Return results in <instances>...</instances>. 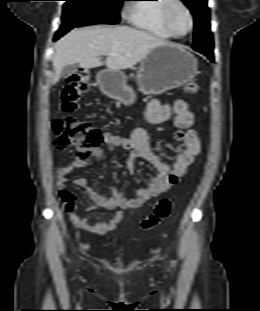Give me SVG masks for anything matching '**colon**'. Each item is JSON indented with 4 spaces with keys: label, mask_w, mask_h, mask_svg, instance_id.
<instances>
[{
    "label": "colon",
    "mask_w": 260,
    "mask_h": 311,
    "mask_svg": "<svg viewBox=\"0 0 260 311\" xmlns=\"http://www.w3.org/2000/svg\"><path fill=\"white\" fill-rule=\"evenodd\" d=\"M89 79V73L85 70L68 78L61 92L62 111L68 115L53 123L54 146L59 150H75L76 159L81 162H86L94 155L95 149L103 142V133L89 120L70 115L80 109V100L88 88ZM184 90L188 94H195L198 91V85L195 81H188ZM176 137L182 139L183 135L179 133ZM172 207V198H162L154 207L153 212L143 220L142 229L149 231L160 225L170 216Z\"/></svg>",
    "instance_id": "colon-1"
}]
</instances>
